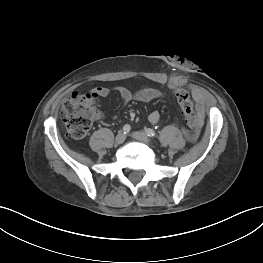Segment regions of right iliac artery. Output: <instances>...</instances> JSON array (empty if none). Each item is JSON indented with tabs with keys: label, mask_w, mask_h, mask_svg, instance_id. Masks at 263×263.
<instances>
[{
	"label": "right iliac artery",
	"mask_w": 263,
	"mask_h": 263,
	"mask_svg": "<svg viewBox=\"0 0 263 263\" xmlns=\"http://www.w3.org/2000/svg\"><path fill=\"white\" fill-rule=\"evenodd\" d=\"M131 130V127L129 124L124 125L123 132L124 134L128 133Z\"/></svg>",
	"instance_id": "obj_1"
}]
</instances>
